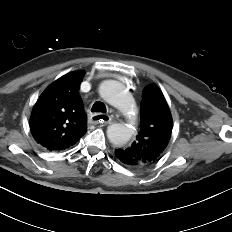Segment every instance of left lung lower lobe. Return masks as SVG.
Wrapping results in <instances>:
<instances>
[{
	"mask_svg": "<svg viewBox=\"0 0 232 232\" xmlns=\"http://www.w3.org/2000/svg\"><path fill=\"white\" fill-rule=\"evenodd\" d=\"M115 157L125 166L133 168V165L135 164V161L131 159L121 148L115 150Z\"/></svg>",
	"mask_w": 232,
	"mask_h": 232,
	"instance_id": "1",
	"label": "left lung lower lobe"
}]
</instances>
